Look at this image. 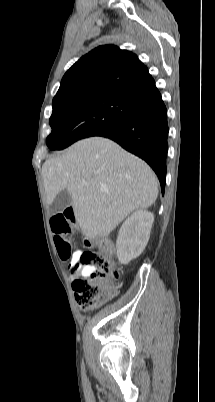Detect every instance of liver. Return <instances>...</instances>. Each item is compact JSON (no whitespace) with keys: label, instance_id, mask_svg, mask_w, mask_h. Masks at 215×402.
<instances>
[{"label":"liver","instance_id":"liver-1","mask_svg":"<svg viewBox=\"0 0 215 402\" xmlns=\"http://www.w3.org/2000/svg\"><path fill=\"white\" fill-rule=\"evenodd\" d=\"M46 202L66 190L77 225L87 239L106 236L131 212L152 206L158 180L141 159L115 142L91 137L42 166Z\"/></svg>","mask_w":215,"mask_h":402}]
</instances>
